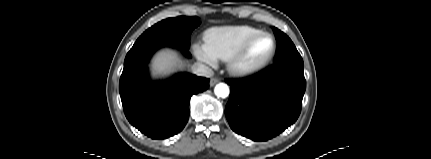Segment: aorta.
<instances>
[{
  "label": "aorta",
  "instance_id": "aorta-1",
  "mask_svg": "<svg viewBox=\"0 0 431 159\" xmlns=\"http://www.w3.org/2000/svg\"><path fill=\"white\" fill-rule=\"evenodd\" d=\"M229 92V87L224 83H219L214 88V93L217 97L226 98Z\"/></svg>",
  "mask_w": 431,
  "mask_h": 159
}]
</instances>
